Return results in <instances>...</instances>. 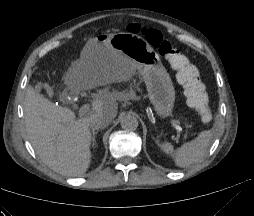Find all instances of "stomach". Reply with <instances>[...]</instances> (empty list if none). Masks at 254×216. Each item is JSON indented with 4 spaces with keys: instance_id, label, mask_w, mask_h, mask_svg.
Wrapping results in <instances>:
<instances>
[{
    "instance_id": "0dacf381",
    "label": "stomach",
    "mask_w": 254,
    "mask_h": 216,
    "mask_svg": "<svg viewBox=\"0 0 254 216\" xmlns=\"http://www.w3.org/2000/svg\"><path fill=\"white\" fill-rule=\"evenodd\" d=\"M115 54H121L128 65L142 75L157 115L164 120L172 117L176 99L173 82L158 54L142 37L120 33L90 40L76 66L106 65Z\"/></svg>"
}]
</instances>
